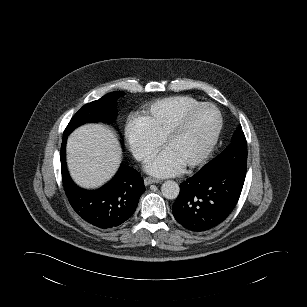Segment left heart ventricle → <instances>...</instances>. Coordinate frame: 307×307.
I'll use <instances>...</instances> for the list:
<instances>
[{"mask_svg":"<svg viewBox=\"0 0 307 307\" xmlns=\"http://www.w3.org/2000/svg\"><path fill=\"white\" fill-rule=\"evenodd\" d=\"M216 125L217 116L213 110L199 109L191 115L184 130L165 145V149L186 164L202 152Z\"/></svg>","mask_w":307,"mask_h":307,"instance_id":"obj_1","label":"left heart ventricle"}]
</instances>
